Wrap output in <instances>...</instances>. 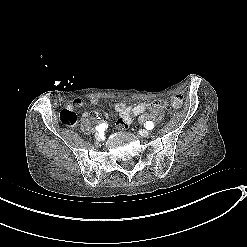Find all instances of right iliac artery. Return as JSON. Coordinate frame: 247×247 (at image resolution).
I'll return each instance as SVG.
<instances>
[{
    "label": "right iliac artery",
    "instance_id": "82829eb1",
    "mask_svg": "<svg viewBox=\"0 0 247 247\" xmlns=\"http://www.w3.org/2000/svg\"><path fill=\"white\" fill-rule=\"evenodd\" d=\"M106 128H107V124L106 123H102V124H100L99 126L96 127V130L98 132H104Z\"/></svg>",
    "mask_w": 247,
    "mask_h": 247
}]
</instances>
